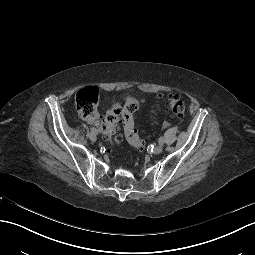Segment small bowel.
I'll return each mask as SVG.
<instances>
[{
  "label": "small bowel",
  "mask_w": 255,
  "mask_h": 255,
  "mask_svg": "<svg viewBox=\"0 0 255 255\" xmlns=\"http://www.w3.org/2000/svg\"><path fill=\"white\" fill-rule=\"evenodd\" d=\"M93 122H94L95 124H97V120H94Z\"/></svg>",
  "instance_id": "1"
}]
</instances>
